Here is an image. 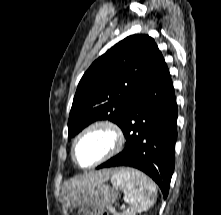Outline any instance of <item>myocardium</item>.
I'll return each instance as SVG.
<instances>
[{"label":"myocardium","instance_id":"obj_1","mask_svg":"<svg viewBox=\"0 0 221 215\" xmlns=\"http://www.w3.org/2000/svg\"><path fill=\"white\" fill-rule=\"evenodd\" d=\"M92 133H102L108 138V146L104 153L88 165H82L76 157V148L80 141ZM124 134L121 127L111 120H97L84 127L74 138L71 145V157L73 162L83 169L95 167L116 155L123 147Z\"/></svg>","mask_w":221,"mask_h":215}]
</instances>
